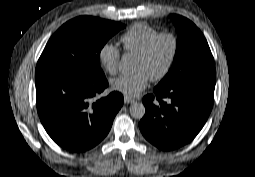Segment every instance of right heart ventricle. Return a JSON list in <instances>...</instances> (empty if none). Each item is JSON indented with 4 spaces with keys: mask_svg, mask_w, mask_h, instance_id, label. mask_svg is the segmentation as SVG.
Wrapping results in <instances>:
<instances>
[{
    "mask_svg": "<svg viewBox=\"0 0 255 177\" xmlns=\"http://www.w3.org/2000/svg\"><path fill=\"white\" fill-rule=\"evenodd\" d=\"M160 31L142 22L134 23L120 38L126 52L138 55Z\"/></svg>",
    "mask_w": 255,
    "mask_h": 177,
    "instance_id": "1",
    "label": "right heart ventricle"
}]
</instances>
